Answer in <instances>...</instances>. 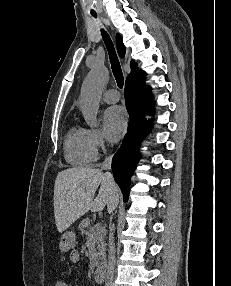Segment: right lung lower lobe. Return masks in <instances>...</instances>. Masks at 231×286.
Instances as JSON below:
<instances>
[{"mask_svg": "<svg viewBox=\"0 0 231 286\" xmlns=\"http://www.w3.org/2000/svg\"><path fill=\"white\" fill-rule=\"evenodd\" d=\"M144 78L143 72L126 80L124 96L130 123L123 143L112 160L114 178L122 190L124 201L128 199L130 178L140 157L138 145L149 127L144 114L152 112L153 109L150 88L145 85Z\"/></svg>", "mask_w": 231, "mask_h": 286, "instance_id": "98d812e1", "label": "right lung lower lobe"}]
</instances>
